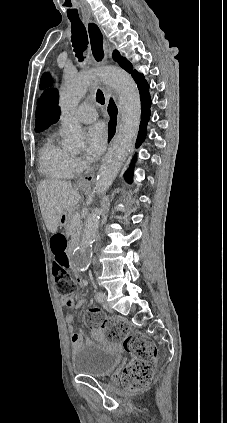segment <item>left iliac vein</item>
Instances as JSON below:
<instances>
[{"instance_id": "obj_1", "label": "left iliac vein", "mask_w": 227, "mask_h": 423, "mask_svg": "<svg viewBox=\"0 0 227 423\" xmlns=\"http://www.w3.org/2000/svg\"><path fill=\"white\" fill-rule=\"evenodd\" d=\"M100 294L103 296V301H102V303H103V307H104L107 311L112 312V309H111V306H110L109 302H107V301H106V295H105L104 293H100Z\"/></svg>"}]
</instances>
